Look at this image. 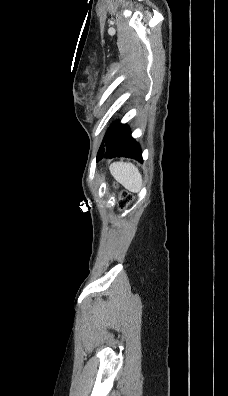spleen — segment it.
Returning a JSON list of instances; mask_svg holds the SVG:
<instances>
[{"mask_svg": "<svg viewBox=\"0 0 228 396\" xmlns=\"http://www.w3.org/2000/svg\"><path fill=\"white\" fill-rule=\"evenodd\" d=\"M109 170L117 182L130 192L138 193L141 190L142 176L133 164L116 162L110 165Z\"/></svg>", "mask_w": 228, "mask_h": 396, "instance_id": "obj_1", "label": "spleen"}]
</instances>
